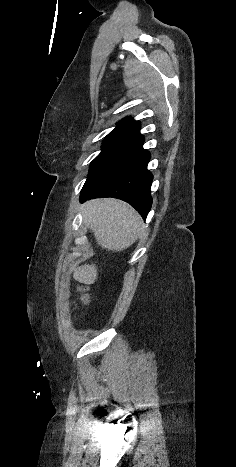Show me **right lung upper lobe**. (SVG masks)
<instances>
[{"label": "right lung upper lobe", "instance_id": "obj_1", "mask_svg": "<svg viewBox=\"0 0 236 467\" xmlns=\"http://www.w3.org/2000/svg\"><path fill=\"white\" fill-rule=\"evenodd\" d=\"M115 129L132 131L139 134L140 123L137 121H133L129 118H124L117 124V127Z\"/></svg>", "mask_w": 236, "mask_h": 467}]
</instances>
